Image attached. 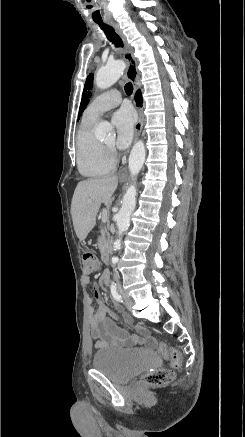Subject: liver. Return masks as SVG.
Masks as SVG:
<instances>
[{
  "mask_svg": "<svg viewBox=\"0 0 245 437\" xmlns=\"http://www.w3.org/2000/svg\"><path fill=\"white\" fill-rule=\"evenodd\" d=\"M117 185L116 176L87 179L77 184L71 202V215L75 233L80 241L85 240L94 228L100 205H110Z\"/></svg>",
  "mask_w": 245,
  "mask_h": 437,
  "instance_id": "1",
  "label": "liver"
}]
</instances>
